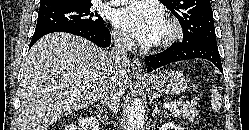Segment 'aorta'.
Wrapping results in <instances>:
<instances>
[{
    "label": "aorta",
    "instance_id": "obj_1",
    "mask_svg": "<svg viewBox=\"0 0 249 130\" xmlns=\"http://www.w3.org/2000/svg\"><path fill=\"white\" fill-rule=\"evenodd\" d=\"M145 108L139 98H134L130 107L127 130H143Z\"/></svg>",
    "mask_w": 249,
    "mask_h": 130
}]
</instances>
